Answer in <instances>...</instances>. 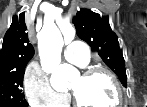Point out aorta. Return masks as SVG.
I'll use <instances>...</instances> for the list:
<instances>
[{
  "mask_svg": "<svg viewBox=\"0 0 147 107\" xmlns=\"http://www.w3.org/2000/svg\"><path fill=\"white\" fill-rule=\"evenodd\" d=\"M74 33L72 32L71 38ZM63 37L53 22H46L38 35V48L42 69L51 73L50 83L55 90L67 88L72 78L79 75L69 64L61 63Z\"/></svg>",
  "mask_w": 147,
  "mask_h": 107,
  "instance_id": "1",
  "label": "aorta"
}]
</instances>
